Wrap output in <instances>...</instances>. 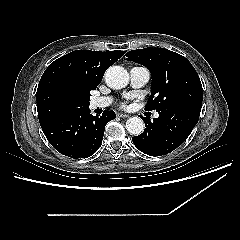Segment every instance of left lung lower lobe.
<instances>
[{
  "label": "left lung lower lobe",
  "mask_w": 240,
  "mask_h": 240,
  "mask_svg": "<svg viewBox=\"0 0 240 240\" xmlns=\"http://www.w3.org/2000/svg\"><path fill=\"white\" fill-rule=\"evenodd\" d=\"M202 102H189L158 112L151 122L143 118L146 129L132 138L134 145L150 156H162L180 146L198 122Z\"/></svg>",
  "instance_id": "0a47b994"
}]
</instances>
